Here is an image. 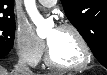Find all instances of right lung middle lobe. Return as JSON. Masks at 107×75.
Listing matches in <instances>:
<instances>
[{"instance_id":"obj_1","label":"right lung middle lobe","mask_w":107,"mask_h":75,"mask_svg":"<svg viewBox=\"0 0 107 75\" xmlns=\"http://www.w3.org/2000/svg\"><path fill=\"white\" fill-rule=\"evenodd\" d=\"M15 36V19H0V51H11Z\"/></svg>"}]
</instances>
